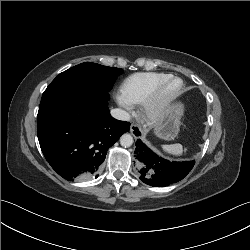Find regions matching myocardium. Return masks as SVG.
Returning <instances> with one entry per match:
<instances>
[{
    "label": "myocardium",
    "instance_id": "myocardium-1",
    "mask_svg": "<svg viewBox=\"0 0 250 250\" xmlns=\"http://www.w3.org/2000/svg\"><path fill=\"white\" fill-rule=\"evenodd\" d=\"M174 81L179 82L178 88L171 93H166L167 87ZM182 90L183 81L179 77L169 76L159 82L142 102L144 118L151 123L161 121L174 101L181 95Z\"/></svg>",
    "mask_w": 250,
    "mask_h": 250
}]
</instances>
